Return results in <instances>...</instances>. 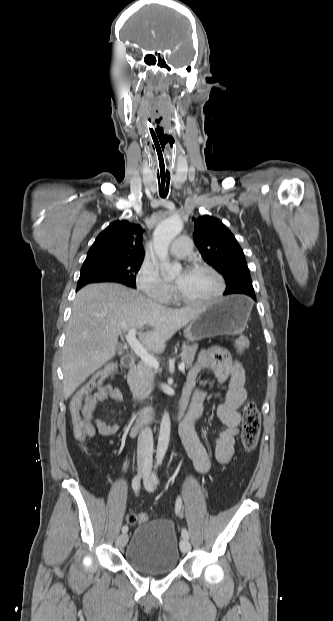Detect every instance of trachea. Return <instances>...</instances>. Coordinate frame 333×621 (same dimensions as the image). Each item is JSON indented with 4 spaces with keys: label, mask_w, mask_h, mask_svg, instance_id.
Wrapping results in <instances>:
<instances>
[{
    "label": "trachea",
    "mask_w": 333,
    "mask_h": 621,
    "mask_svg": "<svg viewBox=\"0 0 333 621\" xmlns=\"http://www.w3.org/2000/svg\"><path fill=\"white\" fill-rule=\"evenodd\" d=\"M159 193L162 198H166L169 193L170 186V173L160 174L158 173Z\"/></svg>",
    "instance_id": "1"
}]
</instances>
